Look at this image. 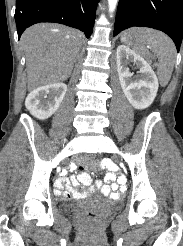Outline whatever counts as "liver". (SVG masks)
Wrapping results in <instances>:
<instances>
[{"label":"liver","instance_id":"liver-1","mask_svg":"<svg viewBox=\"0 0 183 246\" xmlns=\"http://www.w3.org/2000/svg\"><path fill=\"white\" fill-rule=\"evenodd\" d=\"M80 31L57 24H37L21 37L26 57L27 88L67 80L82 45Z\"/></svg>","mask_w":183,"mask_h":246}]
</instances>
